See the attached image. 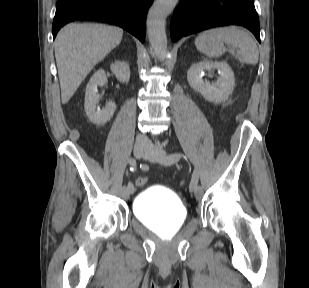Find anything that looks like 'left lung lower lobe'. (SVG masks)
Wrapping results in <instances>:
<instances>
[{"label": "left lung lower lobe", "instance_id": "1", "mask_svg": "<svg viewBox=\"0 0 309 288\" xmlns=\"http://www.w3.org/2000/svg\"><path fill=\"white\" fill-rule=\"evenodd\" d=\"M248 28L260 42V25L253 0H180L171 21L173 41L217 26Z\"/></svg>", "mask_w": 309, "mask_h": 288}]
</instances>
